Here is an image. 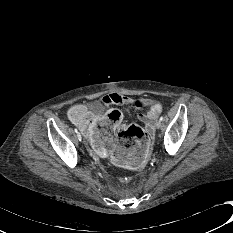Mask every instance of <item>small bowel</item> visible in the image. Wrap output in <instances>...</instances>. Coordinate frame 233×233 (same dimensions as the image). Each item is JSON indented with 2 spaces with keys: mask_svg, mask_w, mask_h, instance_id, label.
Wrapping results in <instances>:
<instances>
[{
  "mask_svg": "<svg viewBox=\"0 0 233 233\" xmlns=\"http://www.w3.org/2000/svg\"><path fill=\"white\" fill-rule=\"evenodd\" d=\"M112 105L137 109L139 119L145 124L148 132H151L155 119L162 112V105L147 97L134 99L118 93H110L95 101L90 105L89 110L82 111L79 117L73 120L88 138L96 155L106 157L109 162L127 169L139 170L147 158L149 141L141 136L133 143L126 144L109 136L105 128L111 126L118 134L123 120L122 113L117 109L102 112L104 107Z\"/></svg>",
  "mask_w": 233,
  "mask_h": 233,
  "instance_id": "1",
  "label": "small bowel"
}]
</instances>
